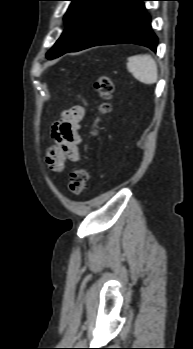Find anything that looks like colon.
Segmentation results:
<instances>
[{"label":"colon","instance_id":"5ec220e1","mask_svg":"<svg viewBox=\"0 0 193 349\" xmlns=\"http://www.w3.org/2000/svg\"><path fill=\"white\" fill-rule=\"evenodd\" d=\"M94 88L100 97V102L98 104V116L91 127V136H95L97 134L99 122L104 115L110 112V99L114 90L112 80L108 76H99L94 82ZM88 179L89 175L85 168H78L74 170L69 179L70 192L74 195H80L86 188Z\"/></svg>","mask_w":193,"mask_h":349}]
</instances>
